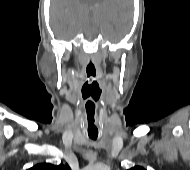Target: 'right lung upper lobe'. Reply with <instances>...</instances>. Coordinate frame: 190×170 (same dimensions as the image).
<instances>
[{
  "mask_svg": "<svg viewBox=\"0 0 190 170\" xmlns=\"http://www.w3.org/2000/svg\"><path fill=\"white\" fill-rule=\"evenodd\" d=\"M28 170H71L68 164L53 165L50 163H41L31 167Z\"/></svg>",
  "mask_w": 190,
  "mask_h": 170,
  "instance_id": "1",
  "label": "right lung upper lobe"
}]
</instances>
